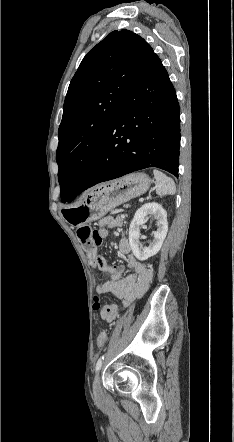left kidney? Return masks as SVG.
<instances>
[{
	"label": "left kidney",
	"instance_id": "obj_1",
	"mask_svg": "<svg viewBox=\"0 0 234 442\" xmlns=\"http://www.w3.org/2000/svg\"><path fill=\"white\" fill-rule=\"evenodd\" d=\"M154 215L156 218L157 230L153 234V241L148 247H143L140 242V226L145 222V217ZM168 222L167 212L163 207L155 202L142 205L135 213L134 218L129 227V243L134 256L144 261L154 256L162 247L163 241L167 235Z\"/></svg>",
	"mask_w": 234,
	"mask_h": 442
}]
</instances>
